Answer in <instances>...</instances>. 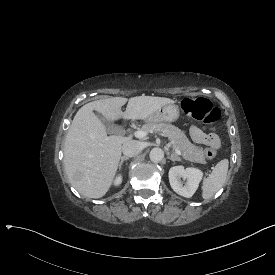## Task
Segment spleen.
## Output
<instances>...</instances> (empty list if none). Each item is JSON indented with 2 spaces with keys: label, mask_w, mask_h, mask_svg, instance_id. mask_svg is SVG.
Listing matches in <instances>:
<instances>
[{
  "label": "spleen",
  "mask_w": 275,
  "mask_h": 275,
  "mask_svg": "<svg viewBox=\"0 0 275 275\" xmlns=\"http://www.w3.org/2000/svg\"><path fill=\"white\" fill-rule=\"evenodd\" d=\"M228 166V159H223L219 161L214 167L211 174L204 179L202 187V197L204 199H209L213 197L216 192L222 187L227 177Z\"/></svg>",
  "instance_id": "obj_1"
}]
</instances>
